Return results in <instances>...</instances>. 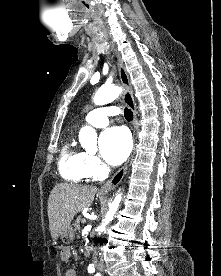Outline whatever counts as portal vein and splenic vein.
<instances>
[{"mask_svg":"<svg viewBox=\"0 0 221 276\" xmlns=\"http://www.w3.org/2000/svg\"><path fill=\"white\" fill-rule=\"evenodd\" d=\"M85 222H86V219H85V218H83V219H82V223H85Z\"/></svg>","mask_w":221,"mask_h":276,"instance_id":"1","label":"portal vein and splenic vein"}]
</instances>
